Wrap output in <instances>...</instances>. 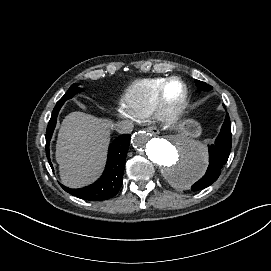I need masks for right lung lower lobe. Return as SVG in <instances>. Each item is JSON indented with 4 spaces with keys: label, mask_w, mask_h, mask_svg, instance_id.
<instances>
[{
    "label": "right lung lower lobe",
    "mask_w": 271,
    "mask_h": 271,
    "mask_svg": "<svg viewBox=\"0 0 271 271\" xmlns=\"http://www.w3.org/2000/svg\"><path fill=\"white\" fill-rule=\"evenodd\" d=\"M62 105L63 104H56L46 130V155L52 169L53 166L49 156V143L56 125L58 112ZM130 138L131 136L129 134H124L112 142L109 146L105 171L97 182L88 187L79 189H70L60 184L61 187L66 192L87 201H103L114 197L122 185Z\"/></svg>",
    "instance_id": "98d812e1"
}]
</instances>
